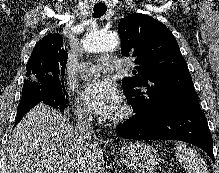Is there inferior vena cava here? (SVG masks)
Masks as SVG:
<instances>
[{
    "instance_id": "obj_1",
    "label": "inferior vena cava",
    "mask_w": 219,
    "mask_h": 173,
    "mask_svg": "<svg viewBox=\"0 0 219 173\" xmlns=\"http://www.w3.org/2000/svg\"><path fill=\"white\" fill-rule=\"evenodd\" d=\"M76 126L74 136L79 144L83 157L76 164L74 173H90L88 169L91 158V150L95 148V142L92 140L93 135V117L90 110L80 107L76 110Z\"/></svg>"
}]
</instances>
